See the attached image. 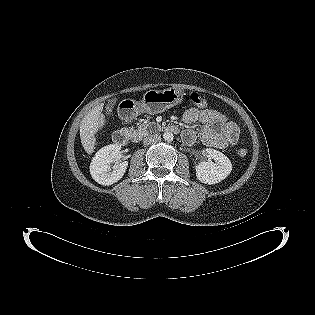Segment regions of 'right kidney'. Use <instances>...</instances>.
<instances>
[{
  "instance_id": "obj_1",
  "label": "right kidney",
  "mask_w": 315,
  "mask_h": 315,
  "mask_svg": "<svg viewBox=\"0 0 315 315\" xmlns=\"http://www.w3.org/2000/svg\"><path fill=\"white\" fill-rule=\"evenodd\" d=\"M120 150V145L110 144L96 153L90 164V174L97 183L109 186L123 177L128 161H117ZM114 162L115 164L111 167L110 164Z\"/></svg>"
}]
</instances>
